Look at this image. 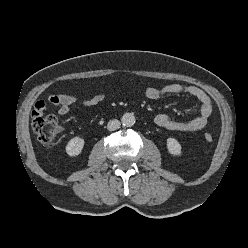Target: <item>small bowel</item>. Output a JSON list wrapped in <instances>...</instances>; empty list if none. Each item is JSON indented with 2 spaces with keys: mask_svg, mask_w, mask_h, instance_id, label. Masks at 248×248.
Wrapping results in <instances>:
<instances>
[{
  "mask_svg": "<svg viewBox=\"0 0 248 248\" xmlns=\"http://www.w3.org/2000/svg\"><path fill=\"white\" fill-rule=\"evenodd\" d=\"M188 94L196 98L200 104V115L189 121H176L166 114H158L154 118L156 125L170 131H197L204 128L211 117L213 104L210 97L199 87L182 84H168L161 88L148 87L145 90V96L150 100H157L166 95ZM105 99L104 93H98L90 98L79 100L76 96L70 94L49 95L48 101L56 107L60 116L67 115L74 107L84 106L92 107L100 104ZM47 109V104L43 100L35 102L32 118L33 120L41 117Z\"/></svg>",
  "mask_w": 248,
  "mask_h": 248,
  "instance_id": "c3829d8e",
  "label": "small bowel"
}]
</instances>
